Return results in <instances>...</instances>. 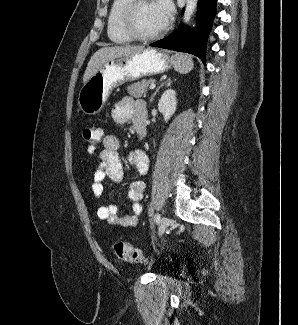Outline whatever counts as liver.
Instances as JSON below:
<instances>
[{"mask_svg":"<svg viewBox=\"0 0 298 325\" xmlns=\"http://www.w3.org/2000/svg\"><path fill=\"white\" fill-rule=\"evenodd\" d=\"M144 50V46H132V44H122V46H103V48H98L96 52H93L91 58L87 62V66L84 70L82 76V82L85 84L100 66L107 62V60H112V58H121L124 54H135V52H140Z\"/></svg>","mask_w":298,"mask_h":325,"instance_id":"6515ba94","label":"liver"}]
</instances>
